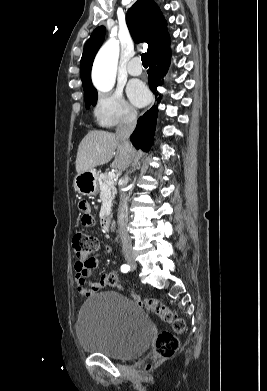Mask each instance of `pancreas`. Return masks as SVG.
Wrapping results in <instances>:
<instances>
[{"instance_id":"cf45deb5","label":"pancreas","mask_w":267,"mask_h":391,"mask_svg":"<svg viewBox=\"0 0 267 391\" xmlns=\"http://www.w3.org/2000/svg\"><path fill=\"white\" fill-rule=\"evenodd\" d=\"M97 182L100 187L101 193H103L104 188L106 187V194L109 197H114L116 194L115 181L114 178L108 176V174L100 173L97 177Z\"/></svg>"}]
</instances>
